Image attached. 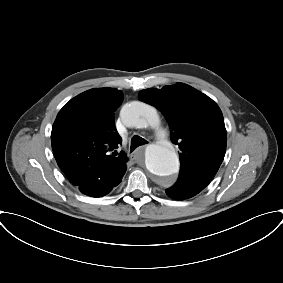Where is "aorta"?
Masks as SVG:
<instances>
[{
	"mask_svg": "<svg viewBox=\"0 0 283 283\" xmlns=\"http://www.w3.org/2000/svg\"><path fill=\"white\" fill-rule=\"evenodd\" d=\"M125 125L133 128L158 127L160 118L156 108L143 102L125 105L121 111ZM147 170L154 176L165 179L179 171V158L169 143H157L147 146L145 151Z\"/></svg>",
	"mask_w": 283,
	"mask_h": 283,
	"instance_id": "1",
	"label": "aorta"
}]
</instances>
